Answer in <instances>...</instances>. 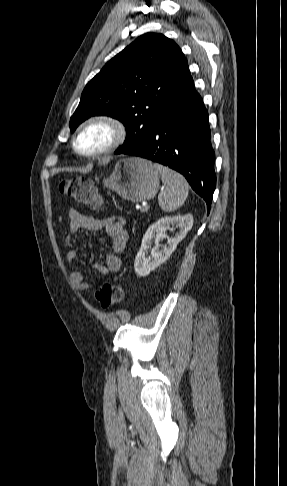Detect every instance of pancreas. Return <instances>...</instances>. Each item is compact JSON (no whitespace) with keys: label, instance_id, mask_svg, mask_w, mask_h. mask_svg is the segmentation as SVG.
I'll return each mask as SVG.
<instances>
[{"label":"pancreas","instance_id":"obj_1","mask_svg":"<svg viewBox=\"0 0 287 486\" xmlns=\"http://www.w3.org/2000/svg\"><path fill=\"white\" fill-rule=\"evenodd\" d=\"M142 212H146L144 209H141Z\"/></svg>","mask_w":287,"mask_h":486}]
</instances>
